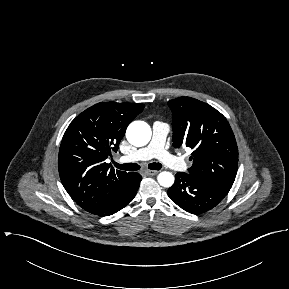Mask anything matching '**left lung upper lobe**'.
<instances>
[{"instance_id": "5c2ea615", "label": "left lung upper lobe", "mask_w": 289, "mask_h": 289, "mask_svg": "<svg viewBox=\"0 0 289 289\" xmlns=\"http://www.w3.org/2000/svg\"><path fill=\"white\" fill-rule=\"evenodd\" d=\"M173 116V146L193 149L189 173L230 189L238 168V147L226 118L191 97L168 102Z\"/></svg>"}]
</instances>
